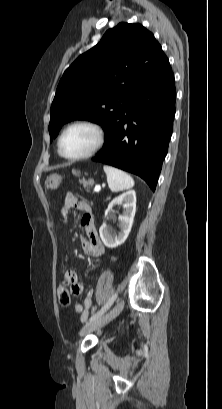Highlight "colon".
I'll use <instances>...</instances> for the list:
<instances>
[{"label":"colon","mask_w":222,"mask_h":409,"mask_svg":"<svg viewBox=\"0 0 222 409\" xmlns=\"http://www.w3.org/2000/svg\"><path fill=\"white\" fill-rule=\"evenodd\" d=\"M76 274V273H75ZM74 274V275H75ZM70 285V284H69ZM69 285H66L65 283H64V279H63V282H62V284L60 285V287H59V290H58V300H59V303L62 305V306H69L70 305V303H71V297H72V295H71V289H70V286ZM96 310H98V307H96V306H92L91 307V309L89 310V313L90 314H95L96 313Z\"/></svg>","instance_id":"colon-1"}]
</instances>
